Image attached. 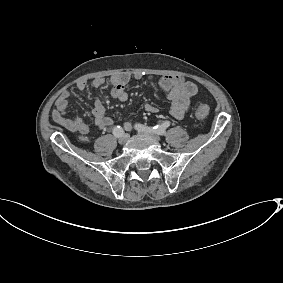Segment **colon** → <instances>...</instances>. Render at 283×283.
<instances>
[{
	"label": "colon",
	"mask_w": 283,
	"mask_h": 283,
	"mask_svg": "<svg viewBox=\"0 0 283 283\" xmlns=\"http://www.w3.org/2000/svg\"><path fill=\"white\" fill-rule=\"evenodd\" d=\"M209 114V106L207 104H200L195 108L194 115L197 119H204Z\"/></svg>",
	"instance_id": "obj_1"
}]
</instances>
